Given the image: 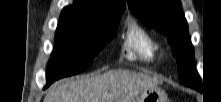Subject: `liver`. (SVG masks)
Masks as SVG:
<instances>
[{
    "instance_id": "1",
    "label": "liver",
    "mask_w": 221,
    "mask_h": 102,
    "mask_svg": "<svg viewBox=\"0 0 221 102\" xmlns=\"http://www.w3.org/2000/svg\"><path fill=\"white\" fill-rule=\"evenodd\" d=\"M159 83V80L144 74L112 70L55 83L44 102H133L139 94Z\"/></svg>"
}]
</instances>
